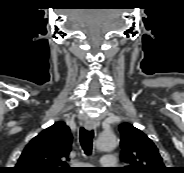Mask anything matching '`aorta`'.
I'll return each mask as SVG.
<instances>
[{"label":"aorta","instance_id":"aorta-1","mask_svg":"<svg viewBox=\"0 0 184 173\" xmlns=\"http://www.w3.org/2000/svg\"><path fill=\"white\" fill-rule=\"evenodd\" d=\"M118 141L114 133H102L97 140V148L100 151H112L117 147Z\"/></svg>","mask_w":184,"mask_h":173}]
</instances>
